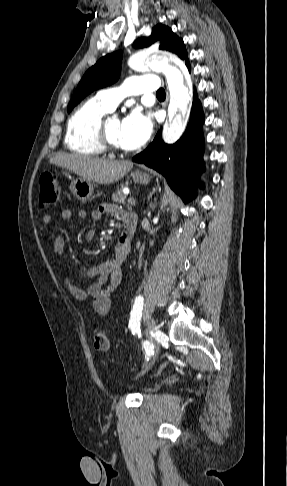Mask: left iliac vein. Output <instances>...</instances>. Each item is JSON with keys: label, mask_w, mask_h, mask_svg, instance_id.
<instances>
[{"label": "left iliac vein", "mask_w": 287, "mask_h": 486, "mask_svg": "<svg viewBox=\"0 0 287 486\" xmlns=\"http://www.w3.org/2000/svg\"><path fill=\"white\" fill-rule=\"evenodd\" d=\"M146 325H147V327L151 328V333L154 336V341H156V339L158 340V339H164L165 338V335L160 330L154 328V321L153 320H147Z\"/></svg>", "instance_id": "left-iliac-vein-1"}]
</instances>
